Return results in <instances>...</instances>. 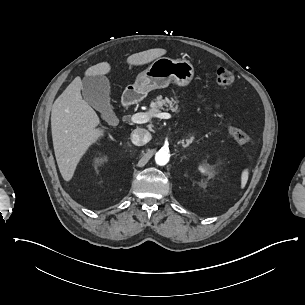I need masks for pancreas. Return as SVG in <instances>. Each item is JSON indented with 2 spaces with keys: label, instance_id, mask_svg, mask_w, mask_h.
Listing matches in <instances>:
<instances>
[{
  "label": "pancreas",
  "instance_id": "cf45deb5",
  "mask_svg": "<svg viewBox=\"0 0 305 305\" xmlns=\"http://www.w3.org/2000/svg\"><path fill=\"white\" fill-rule=\"evenodd\" d=\"M179 101L175 100L174 98H167L165 97L163 99V97L161 95L157 96L155 101L151 102L150 104V110H149V114L150 115H154L157 113H160L161 110H171L172 112L178 113L180 111L179 109V105H178Z\"/></svg>",
  "mask_w": 305,
  "mask_h": 305
}]
</instances>
